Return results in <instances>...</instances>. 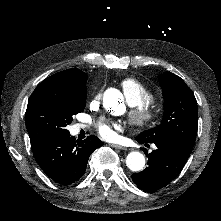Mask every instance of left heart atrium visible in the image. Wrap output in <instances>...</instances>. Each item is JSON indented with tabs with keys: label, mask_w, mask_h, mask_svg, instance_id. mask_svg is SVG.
<instances>
[{
	"label": "left heart atrium",
	"mask_w": 221,
	"mask_h": 221,
	"mask_svg": "<svg viewBox=\"0 0 221 221\" xmlns=\"http://www.w3.org/2000/svg\"><path fill=\"white\" fill-rule=\"evenodd\" d=\"M118 127L119 125L116 122L100 120L96 126V131L102 139L115 142L119 140V136L116 131Z\"/></svg>",
	"instance_id": "left-heart-atrium-1"
}]
</instances>
